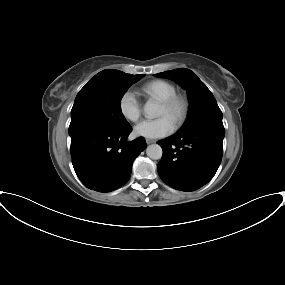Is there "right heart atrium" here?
<instances>
[{"instance_id": "right-heart-atrium-1", "label": "right heart atrium", "mask_w": 285, "mask_h": 285, "mask_svg": "<svg viewBox=\"0 0 285 285\" xmlns=\"http://www.w3.org/2000/svg\"><path fill=\"white\" fill-rule=\"evenodd\" d=\"M119 111L130 122H137L141 116V103L132 90H126L119 99Z\"/></svg>"}]
</instances>
